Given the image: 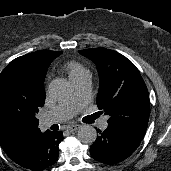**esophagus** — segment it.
<instances>
[{
  "instance_id": "esophagus-1",
  "label": "esophagus",
  "mask_w": 171,
  "mask_h": 171,
  "mask_svg": "<svg viewBox=\"0 0 171 171\" xmlns=\"http://www.w3.org/2000/svg\"><path fill=\"white\" fill-rule=\"evenodd\" d=\"M79 128H80V125H78V124H73V125L67 126V127H66V130H67L68 132H74V131L78 130Z\"/></svg>"
}]
</instances>
